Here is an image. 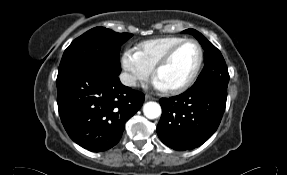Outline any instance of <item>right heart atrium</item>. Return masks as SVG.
Masks as SVG:
<instances>
[{"label": "right heart atrium", "instance_id": "d8ad5b80", "mask_svg": "<svg viewBox=\"0 0 287 175\" xmlns=\"http://www.w3.org/2000/svg\"><path fill=\"white\" fill-rule=\"evenodd\" d=\"M120 61L125 72L123 81L128 86L134 87L140 82L147 81L152 74V69L141 60L136 51L125 50Z\"/></svg>", "mask_w": 287, "mask_h": 175}]
</instances>
